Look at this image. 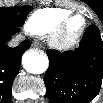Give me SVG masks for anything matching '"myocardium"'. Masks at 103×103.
I'll use <instances>...</instances> for the list:
<instances>
[{
    "instance_id": "myocardium-1",
    "label": "myocardium",
    "mask_w": 103,
    "mask_h": 103,
    "mask_svg": "<svg viewBox=\"0 0 103 103\" xmlns=\"http://www.w3.org/2000/svg\"><path fill=\"white\" fill-rule=\"evenodd\" d=\"M82 18V26L75 33L68 32L70 22L76 18ZM87 27V19L80 13H70L60 20L49 33L50 43L57 48H67L75 44L84 34Z\"/></svg>"
}]
</instances>
